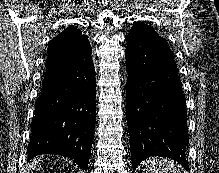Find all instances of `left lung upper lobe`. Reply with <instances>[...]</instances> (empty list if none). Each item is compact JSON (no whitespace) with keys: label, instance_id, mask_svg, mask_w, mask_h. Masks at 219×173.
Segmentation results:
<instances>
[{"label":"left lung upper lobe","instance_id":"left-lung-upper-lobe-1","mask_svg":"<svg viewBox=\"0 0 219 173\" xmlns=\"http://www.w3.org/2000/svg\"><path fill=\"white\" fill-rule=\"evenodd\" d=\"M140 35H156L159 36L150 26L142 22L135 23L128 36H140Z\"/></svg>","mask_w":219,"mask_h":173}]
</instances>
